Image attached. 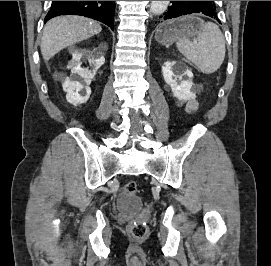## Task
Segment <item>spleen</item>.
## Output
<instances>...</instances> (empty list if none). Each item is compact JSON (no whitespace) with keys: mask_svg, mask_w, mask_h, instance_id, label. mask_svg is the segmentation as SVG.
<instances>
[{"mask_svg":"<svg viewBox=\"0 0 271 266\" xmlns=\"http://www.w3.org/2000/svg\"><path fill=\"white\" fill-rule=\"evenodd\" d=\"M190 41L183 37L176 42L179 52L203 74H212L222 65L225 58V39L219 27L205 22Z\"/></svg>","mask_w":271,"mask_h":266,"instance_id":"3e777b00","label":"spleen"}]
</instances>
